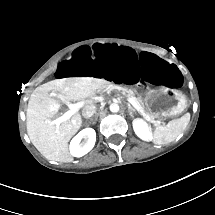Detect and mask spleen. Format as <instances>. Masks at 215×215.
Returning <instances> with one entry per match:
<instances>
[{
  "label": "spleen",
  "mask_w": 215,
  "mask_h": 215,
  "mask_svg": "<svg viewBox=\"0 0 215 215\" xmlns=\"http://www.w3.org/2000/svg\"><path fill=\"white\" fill-rule=\"evenodd\" d=\"M189 119L190 115L186 113L180 118L169 121L166 126L157 127L154 131L153 142L155 144H165L175 140Z\"/></svg>",
  "instance_id": "obj_1"
}]
</instances>
